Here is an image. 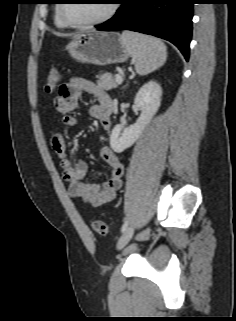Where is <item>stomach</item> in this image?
Here are the masks:
<instances>
[{"mask_svg": "<svg viewBox=\"0 0 236 321\" xmlns=\"http://www.w3.org/2000/svg\"><path fill=\"white\" fill-rule=\"evenodd\" d=\"M72 58L81 63L105 66L128 60L130 53L116 32H86L67 45Z\"/></svg>", "mask_w": 236, "mask_h": 321, "instance_id": "stomach-1", "label": "stomach"}]
</instances>
